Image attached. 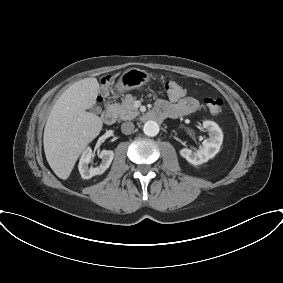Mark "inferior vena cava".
Masks as SVG:
<instances>
[{"label": "inferior vena cava", "mask_w": 283, "mask_h": 283, "mask_svg": "<svg viewBox=\"0 0 283 283\" xmlns=\"http://www.w3.org/2000/svg\"><path fill=\"white\" fill-rule=\"evenodd\" d=\"M134 128H135V126H134L133 122H130V121L124 122L121 125V131H122V133H124L126 135L131 134L133 132Z\"/></svg>", "instance_id": "obj_1"}]
</instances>
